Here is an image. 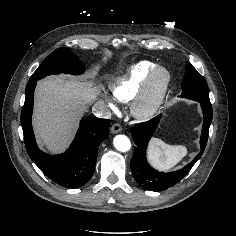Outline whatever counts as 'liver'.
Instances as JSON below:
<instances>
[{"label": "liver", "instance_id": "liver-1", "mask_svg": "<svg viewBox=\"0 0 236 236\" xmlns=\"http://www.w3.org/2000/svg\"><path fill=\"white\" fill-rule=\"evenodd\" d=\"M92 81L50 76L40 80L35 93L33 126L39 144L62 152L72 140L78 118L99 95Z\"/></svg>", "mask_w": 236, "mask_h": 236}]
</instances>
